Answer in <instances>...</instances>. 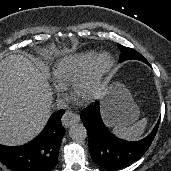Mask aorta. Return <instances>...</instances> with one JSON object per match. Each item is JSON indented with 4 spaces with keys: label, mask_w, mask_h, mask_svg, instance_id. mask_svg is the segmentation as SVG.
<instances>
[{
    "label": "aorta",
    "mask_w": 171,
    "mask_h": 171,
    "mask_svg": "<svg viewBox=\"0 0 171 171\" xmlns=\"http://www.w3.org/2000/svg\"><path fill=\"white\" fill-rule=\"evenodd\" d=\"M69 136L74 141H82L87 137V130L83 124L75 123L69 129Z\"/></svg>",
    "instance_id": "obj_1"
}]
</instances>
